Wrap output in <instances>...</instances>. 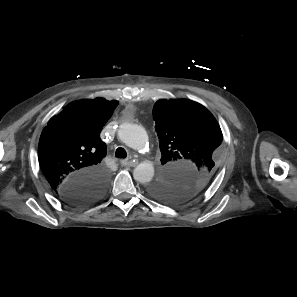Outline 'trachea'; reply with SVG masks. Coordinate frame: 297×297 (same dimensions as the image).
Instances as JSON below:
<instances>
[{
	"mask_svg": "<svg viewBox=\"0 0 297 297\" xmlns=\"http://www.w3.org/2000/svg\"><path fill=\"white\" fill-rule=\"evenodd\" d=\"M115 156L117 158H126L127 157V152L125 151L124 148L119 147L116 152H115Z\"/></svg>",
	"mask_w": 297,
	"mask_h": 297,
	"instance_id": "3493384b",
	"label": "trachea"
}]
</instances>
